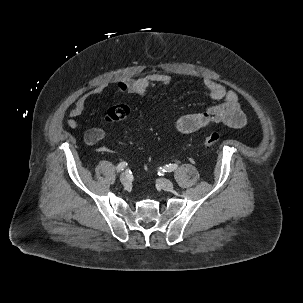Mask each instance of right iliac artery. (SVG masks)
<instances>
[{"label": "right iliac artery", "mask_w": 303, "mask_h": 303, "mask_svg": "<svg viewBox=\"0 0 303 303\" xmlns=\"http://www.w3.org/2000/svg\"><path fill=\"white\" fill-rule=\"evenodd\" d=\"M126 166H127L126 162L119 163L118 166H117V168H116L117 172H121L122 170H124L126 168Z\"/></svg>", "instance_id": "1"}]
</instances>
